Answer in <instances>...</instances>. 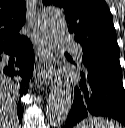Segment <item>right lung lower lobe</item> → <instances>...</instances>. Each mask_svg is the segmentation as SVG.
I'll return each instance as SVG.
<instances>
[{"label":"right lung lower lobe","mask_w":125,"mask_h":128,"mask_svg":"<svg viewBox=\"0 0 125 128\" xmlns=\"http://www.w3.org/2000/svg\"><path fill=\"white\" fill-rule=\"evenodd\" d=\"M3 54L16 55L17 60L13 64H9L5 67H0V71L8 78L13 79L14 84L17 85V78H21L19 84L20 97L26 94L29 87V81L33 74L34 69V50L30 40L27 37H23L17 42L0 48V61ZM17 115L19 122L22 121L23 108L20 103L17 104Z\"/></svg>","instance_id":"obj_1"}]
</instances>
